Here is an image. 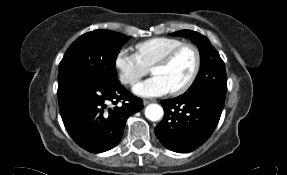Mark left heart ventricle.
Here are the masks:
<instances>
[{
  "label": "left heart ventricle",
  "mask_w": 287,
  "mask_h": 175,
  "mask_svg": "<svg viewBox=\"0 0 287 175\" xmlns=\"http://www.w3.org/2000/svg\"><path fill=\"white\" fill-rule=\"evenodd\" d=\"M195 66V54L192 49L185 48L173 60L152 70L154 75L162 77L170 90L182 86L190 77Z\"/></svg>",
  "instance_id": "left-heart-ventricle-1"
}]
</instances>
